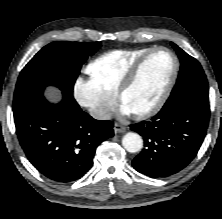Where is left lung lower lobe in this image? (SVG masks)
Returning a JSON list of instances; mask_svg holds the SVG:
<instances>
[{
  "instance_id": "0a47b994",
  "label": "left lung lower lobe",
  "mask_w": 222,
  "mask_h": 219,
  "mask_svg": "<svg viewBox=\"0 0 222 219\" xmlns=\"http://www.w3.org/2000/svg\"><path fill=\"white\" fill-rule=\"evenodd\" d=\"M209 102L185 95L167 100L150 121L131 125L145 148L132 161L134 168L152 178L167 177L186 167L206 135Z\"/></svg>"
}]
</instances>
